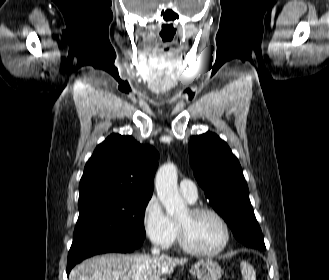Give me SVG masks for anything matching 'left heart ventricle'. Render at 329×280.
Here are the masks:
<instances>
[{
    "label": "left heart ventricle",
    "mask_w": 329,
    "mask_h": 280,
    "mask_svg": "<svg viewBox=\"0 0 329 280\" xmlns=\"http://www.w3.org/2000/svg\"><path fill=\"white\" fill-rule=\"evenodd\" d=\"M190 243L200 250L212 251L223 242L224 232L219 222L212 216L203 214L191 216L187 210L179 219Z\"/></svg>",
    "instance_id": "obj_1"
}]
</instances>
